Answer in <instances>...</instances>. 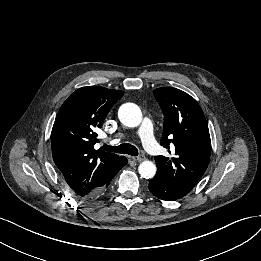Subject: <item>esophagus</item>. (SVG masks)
Masks as SVG:
<instances>
[{"instance_id": "1", "label": "esophagus", "mask_w": 261, "mask_h": 261, "mask_svg": "<svg viewBox=\"0 0 261 261\" xmlns=\"http://www.w3.org/2000/svg\"><path fill=\"white\" fill-rule=\"evenodd\" d=\"M131 159L134 160V161H138V162H140V161L145 160V156H143V155H140V156H133V157H131Z\"/></svg>"}]
</instances>
